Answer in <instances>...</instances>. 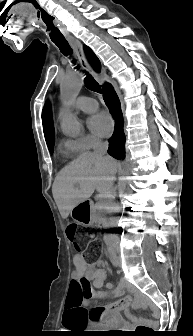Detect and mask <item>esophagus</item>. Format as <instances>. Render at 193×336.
<instances>
[{"label":"esophagus","mask_w":193,"mask_h":336,"mask_svg":"<svg viewBox=\"0 0 193 336\" xmlns=\"http://www.w3.org/2000/svg\"><path fill=\"white\" fill-rule=\"evenodd\" d=\"M77 57L78 60L82 66V68L86 69L88 72H90L95 78L98 79L99 74L93 69V67L91 66V64L89 63L86 54L84 52L83 49V45L82 43L78 40V39H72L70 41Z\"/></svg>","instance_id":"1"}]
</instances>
